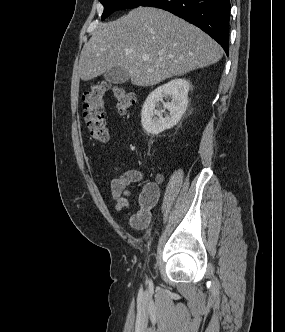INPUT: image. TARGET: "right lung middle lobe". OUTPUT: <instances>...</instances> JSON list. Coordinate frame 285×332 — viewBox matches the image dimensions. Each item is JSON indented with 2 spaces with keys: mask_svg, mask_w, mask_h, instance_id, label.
Masks as SVG:
<instances>
[{
  "mask_svg": "<svg viewBox=\"0 0 285 332\" xmlns=\"http://www.w3.org/2000/svg\"><path fill=\"white\" fill-rule=\"evenodd\" d=\"M104 6L102 20L114 11L127 8H135L142 5L147 0H99Z\"/></svg>",
  "mask_w": 285,
  "mask_h": 332,
  "instance_id": "dd1d6c3e",
  "label": "right lung middle lobe"
}]
</instances>
